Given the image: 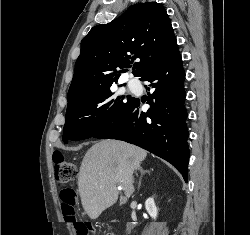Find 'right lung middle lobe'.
<instances>
[{
	"label": "right lung middle lobe",
	"instance_id": "right-lung-middle-lobe-1",
	"mask_svg": "<svg viewBox=\"0 0 250 235\" xmlns=\"http://www.w3.org/2000/svg\"><path fill=\"white\" fill-rule=\"evenodd\" d=\"M110 86L80 96L67 105L63 141L94 137L113 122L132 102L128 96L114 97ZM127 98V102L123 100Z\"/></svg>",
	"mask_w": 250,
	"mask_h": 235
}]
</instances>
